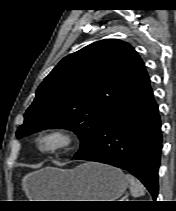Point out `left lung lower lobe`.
I'll return each mask as SVG.
<instances>
[{
	"label": "left lung lower lobe",
	"mask_w": 176,
	"mask_h": 211,
	"mask_svg": "<svg viewBox=\"0 0 176 211\" xmlns=\"http://www.w3.org/2000/svg\"><path fill=\"white\" fill-rule=\"evenodd\" d=\"M161 149L158 105L149 87L115 110L90 147L74 158L127 170L145 185L155 200Z\"/></svg>",
	"instance_id": "left-lung-lower-lobe-1"
}]
</instances>
